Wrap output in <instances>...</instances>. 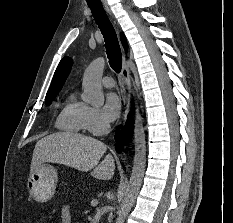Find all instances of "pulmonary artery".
Wrapping results in <instances>:
<instances>
[{
	"mask_svg": "<svg viewBox=\"0 0 233 223\" xmlns=\"http://www.w3.org/2000/svg\"><path fill=\"white\" fill-rule=\"evenodd\" d=\"M102 82H103V85L106 87V88H111L113 87L114 85V80L113 78L109 77V76H105L103 79H102Z\"/></svg>",
	"mask_w": 233,
	"mask_h": 223,
	"instance_id": "1",
	"label": "pulmonary artery"
}]
</instances>
